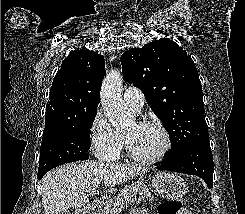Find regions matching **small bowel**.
<instances>
[{"mask_svg":"<svg viewBox=\"0 0 245 214\" xmlns=\"http://www.w3.org/2000/svg\"><path fill=\"white\" fill-rule=\"evenodd\" d=\"M130 214H146V212L142 208H134Z\"/></svg>","mask_w":245,"mask_h":214,"instance_id":"1","label":"small bowel"}]
</instances>
